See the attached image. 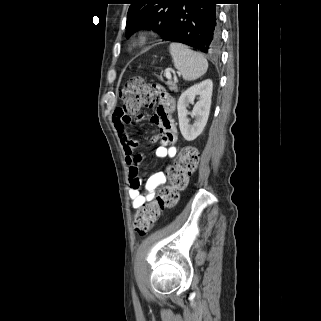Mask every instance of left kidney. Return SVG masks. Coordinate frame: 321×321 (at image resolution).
Here are the masks:
<instances>
[{
  "mask_svg": "<svg viewBox=\"0 0 321 321\" xmlns=\"http://www.w3.org/2000/svg\"><path fill=\"white\" fill-rule=\"evenodd\" d=\"M212 90L213 82L207 79L193 85L181 94L177 103V110L179 128L185 140H195L206 126L210 113ZM196 96H199L198 101L194 105L192 112L189 113L187 107L194 102ZM188 114L196 118L192 125L189 124Z\"/></svg>",
  "mask_w": 321,
  "mask_h": 321,
  "instance_id": "obj_1",
  "label": "left kidney"
}]
</instances>
